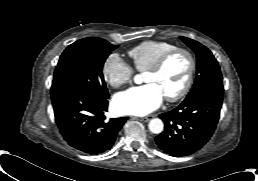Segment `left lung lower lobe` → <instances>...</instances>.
<instances>
[{"label":"left lung lower lobe","instance_id":"obj_1","mask_svg":"<svg viewBox=\"0 0 258 181\" xmlns=\"http://www.w3.org/2000/svg\"><path fill=\"white\" fill-rule=\"evenodd\" d=\"M223 91H206L159 115L164 131L155 138L165 153L181 157L199 150L212 136L220 116Z\"/></svg>","mask_w":258,"mask_h":181}]
</instances>
